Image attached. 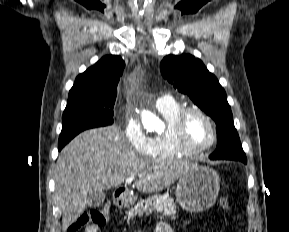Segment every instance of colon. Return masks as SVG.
<instances>
[{"mask_svg": "<svg viewBox=\"0 0 289 232\" xmlns=\"http://www.w3.org/2000/svg\"><path fill=\"white\" fill-rule=\"evenodd\" d=\"M220 206L226 211L230 209V203L226 198L220 199ZM108 212L107 207L85 211L69 225L67 232H79L83 227L89 225L104 226L108 219Z\"/></svg>", "mask_w": 289, "mask_h": 232, "instance_id": "5ec220e1", "label": "colon"}]
</instances>
